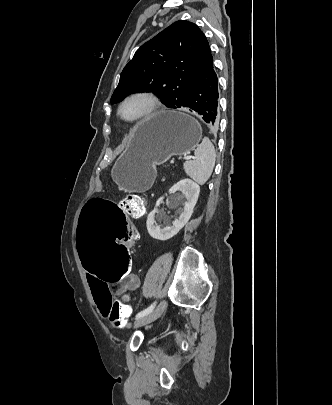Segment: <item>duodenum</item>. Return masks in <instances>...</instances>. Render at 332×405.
Listing matches in <instances>:
<instances>
[{"label": "duodenum", "mask_w": 332, "mask_h": 405, "mask_svg": "<svg viewBox=\"0 0 332 405\" xmlns=\"http://www.w3.org/2000/svg\"><path fill=\"white\" fill-rule=\"evenodd\" d=\"M134 216H135V217H140L141 214H138V213H137V214H134Z\"/></svg>", "instance_id": "410a0bca"}]
</instances>
